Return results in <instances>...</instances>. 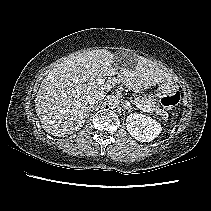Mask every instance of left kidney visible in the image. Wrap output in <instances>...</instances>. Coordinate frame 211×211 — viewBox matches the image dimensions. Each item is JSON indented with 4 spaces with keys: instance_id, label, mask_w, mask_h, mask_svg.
Segmentation results:
<instances>
[{
    "instance_id": "1",
    "label": "left kidney",
    "mask_w": 211,
    "mask_h": 211,
    "mask_svg": "<svg viewBox=\"0 0 211 211\" xmlns=\"http://www.w3.org/2000/svg\"><path fill=\"white\" fill-rule=\"evenodd\" d=\"M126 127L129 134L141 142H150L161 132L160 123L149 116L138 113L127 116Z\"/></svg>"
}]
</instances>
